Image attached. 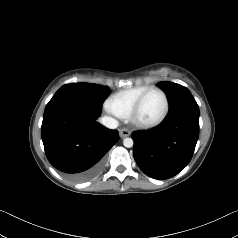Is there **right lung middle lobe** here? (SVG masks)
<instances>
[{
	"label": "right lung middle lobe",
	"instance_id": "dd1d6c3e",
	"mask_svg": "<svg viewBox=\"0 0 238 238\" xmlns=\"http://www.w3.org/2000/svg\"><path fill=\"white\" fill-rule=\"evenodd\" d=\"M110 89L107 86L93 85L86 83L66 84L62 86L55 95L69 94L87 100L92 103L102 104L109 95ZM54 95V96H55Z\"/></svg>",
	"mask_w": 238,
	"mask_h": 238
}]
</instances>
